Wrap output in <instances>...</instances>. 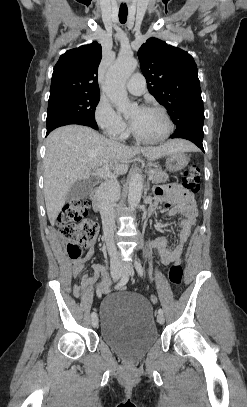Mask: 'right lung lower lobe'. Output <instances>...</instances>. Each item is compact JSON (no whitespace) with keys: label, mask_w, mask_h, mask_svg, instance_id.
<instances>
[{"label":"right lung lower lobe","mask_w":247,"mask_h":407,"mask_svg":"<svg viewBox=\"0 0 247 407\" xmlns=\"http://www.w3.org/2000/svg\"><path fill=\"white\" fill-rule=\"evenodd\" d=\"M68 124L85 125V126H90V127L93 128V129H97V125H92V124L85 123V122H82V121L65 120V121L57 122V123L53 124V125L50 126V127H47V134H46V136H47L52 130H54L55 128L60 127V126H64V125H68Z\"/></svg>","instance_id":"right-lung-lower-lobe-1"}]
</instances>
